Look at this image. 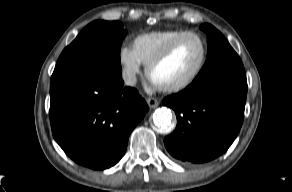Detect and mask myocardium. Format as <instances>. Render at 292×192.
Segmentation results:
<instances>
[{
    "mask_svg": "<svg viewBox=\"0 0 292 192\" xmlns=\"http://www.w3.org/2000/svg\"><path fill=\"white\" fill-rule=\"evenodd\" d=\"M187 37H195L199 40L202 46V56L201 60L197 66V68L194 70V72L188 76L186 79L177 82L172 85L168 86H158L160 90L164 92H178L181 90L186 89L190 85H192L198 77L203 72L207 60H208V45L206 39L198 32L195 31H186L179 36L175 37L161 52H159L155 57H153L146 65L145 73L149 80H151V72L152 70L162 63L164 60H166L175 50L177 45L185 38ZM152 81V80H151Z\"/></svg>",
    "mask_w": 292,
    "mask_h": 192,
    "instance_id": "f54148a6",
    "label": "myocardium"
}]
</instances>
